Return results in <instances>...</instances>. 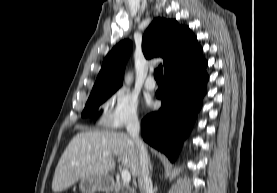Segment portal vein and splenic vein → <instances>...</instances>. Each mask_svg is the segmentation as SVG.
<instances>
[{"instance_id": "18ae733b", "label": "portal vein and splenic vein", "mask_w": 277, "mask_h": 193, "mask_svg": "<svg viewBox=\"0 0 277 193\" xmlns=\"http://www.w3.org/2000/svg\"><path fill=\"white\" fill-rule=\"evenodd\" d=\"M103 156L104 157H107V156L111 157V155H109L108 153H103ZM121 178H122L124 183L129 184V182L131 181V174H130V172L127 169H123L121 171Z\"/></svg>"}]
</instances>
